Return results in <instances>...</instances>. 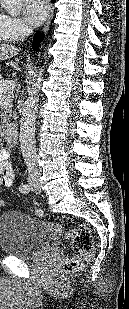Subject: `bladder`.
Segmentation results:
<instances>
[{
	"label": "bladder",
	"mask_w": 129,
	"mask_h": 309,
	"mask_svg": "<svg viewBox=\"0 0 129 309\" xmlns=\"http://www.w3.org/2000/svg\"><path fill=\"white\" fill-rule=\"evenodd\" d=\"M57 246V235L46 223L19 211L0 215V247L6 254L32 259Z\"/></svg>",
	"instance_id": "bladder-1"
}]
</instances>
